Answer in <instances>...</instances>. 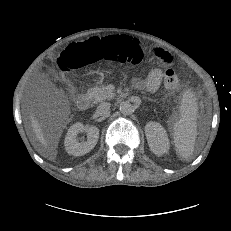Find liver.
<instances>
[{
	"label": "liver",
	"instance_id": "liver-1",
	"mask_svg": "<svg viewBox=\"0 0 231 231\" xmlns=\"http://www.w3.org/2000/svg\"><path fill=\"white\" fill-rule=\"evenodd\" d=\"M30 118L34 134L41 145V148L38 149V152L44 157H49V159L51 160L54 159L56 157L54 147L49 146L48 141L46 140L42 132L41 125L38 123L37 119L34 117L33 114H31Z\"/></svg>",
	"mask_w": 231,
	"mask_h": 231
}]
</instances>
